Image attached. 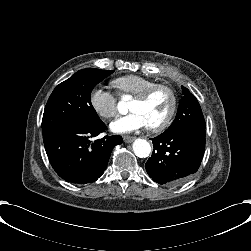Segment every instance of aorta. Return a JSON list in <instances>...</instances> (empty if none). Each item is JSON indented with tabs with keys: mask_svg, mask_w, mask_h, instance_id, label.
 I'll return each instance as SVG.
<instances>
[{
	"mask_svg": "<svg viewBox=\"0 0 251 251\" xmlns=\"http://www.w3.org/2000/svg\"><path fill=\"white\" fill-rule=\"evenodd\" d=\"M132 149L135 155H137L140 158L147 157L151 152L150 144L148 143L146 139H142V138H137L134 140L132 144Z\"/></svg>",
	"mask_w": 251,
	"mask_h": 251,
	"instance_id": "762f6f07",
	"label": "aorta"
}]
</instances>
